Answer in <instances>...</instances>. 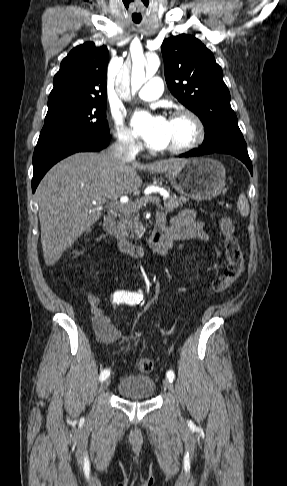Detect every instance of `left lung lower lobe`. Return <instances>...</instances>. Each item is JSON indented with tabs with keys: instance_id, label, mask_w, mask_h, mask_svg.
Returning <instances> with one entry per match:
<instances>
[{
	"instance_id": "0a47b994",
	"label": "left lung lower lobe",
	"mask_w": 287,
	"mask_h": 486,
	"mask_svg": "<svg viewBox=\"0 0 287 486\" xmlns=\"http://www.w3.org/2000/svg\"><path fill=\"white\" fill-rule=\"evenodd\" d=\"M210 153H213V152L209 151V150H203V149H193V150H190L189 152H186V153L180 155V157L201 156V155L210 154ZM227 154H231V155L237 157L238 159H240L248 167L251 175L253 174L252 163L250 161L248 154H238V153H227Z\"/></svg>"
}]
</instances>
